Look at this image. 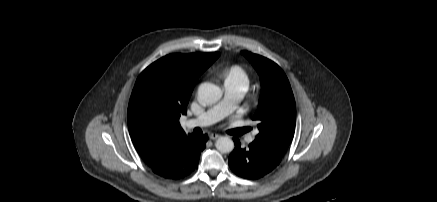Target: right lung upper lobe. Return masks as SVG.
<instances>
[{"instance_id":"obj_1","label":"right lung upper lobe","mask_w":437,"mask_h":202,"mask_svg":"<svg viewBox=\"0 0 437 202\" xmlns=\"http://www.w3.org/2000/svg\"><path fill=\"white\" fill-rule=\"evenodd\" d=\"M219 55L218 52L166 55L149 65L138 77L133 93L150 70L160 68L165 72L157 95L160 105L157 112L148 113L136 108L132 95L128 106L127 121L132 142L149 166H153L187 136L179 118L187 111L198 78Z\"/></svg>"}]
</instances>
